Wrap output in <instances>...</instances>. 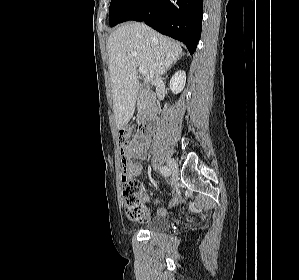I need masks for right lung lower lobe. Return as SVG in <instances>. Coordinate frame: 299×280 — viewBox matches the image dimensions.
Returning a JSON list of instances; mask_svg holds the SVG:
<instances>
[{
    "label": "right lung lower lobe",
    "mask_w": 299,
    "mask_h": 280,
    "mask_svg": "<svg viewBox=\"0 0 299 280\" xmlns=\"http://www.w3.org/2000/svg\"><path fill=\"white\" fill-rule=\"evenodd\" d=\"M203 0H138L122 22L144 21L183 42L193 54L201 36Z\"/></svg>",
    "instance_id": "right-lung-lower-lobe-1"
}]
</instances>
